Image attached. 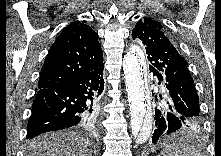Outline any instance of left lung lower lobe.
Here are the masks:
<instances>
[{
    "label": "left lung lower lobe",
    "mask_w": 221,
    "mask_h": 156,
    "mask_svg": "<svg viewBox=\"0 0 221 156\" xmlns=\"http://www.w3.org/2000/svg\"><path fill=\"white\" fill-rule=\"evenodd\" d=\"M150 72L153 73L158 85H165V78L160 72L155 70ZM154 83L155 81H153ZM153 95L158 105L155 108V130L152 143H156L159 139L176 131L195 128L200 125V119L197 120L194 116L185 114L175 106L166 89L158 91L156 95L153 93Z\"/></svg>",
    "instance_id": "0a47b994"
}]
</instances>
